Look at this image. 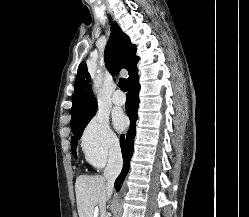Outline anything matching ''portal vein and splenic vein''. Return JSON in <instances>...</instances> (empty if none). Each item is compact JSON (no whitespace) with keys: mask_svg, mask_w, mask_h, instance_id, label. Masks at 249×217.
I'll use <instances>...</instances> for the list:
<instances>
[{"mask_svg":"<svg viewBox=\"0 0 249 217\" xmlns=\"http://www.w3.org/2000/svg\"><path fill=\"white\" fill-rule=\"evenodd\" d=\"M98 211H99V209H98V207H96V208H95V211H94V217H97Z\"/></svg>","mask_w":249,"mask_h":217,"instance_id":"1","label":"portal vein and splenic vein"}]
</instances>
